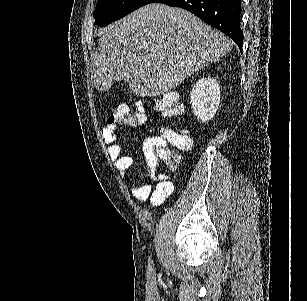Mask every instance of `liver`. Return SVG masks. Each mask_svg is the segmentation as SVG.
I'll return each mask as SVG.
<instances>
[{
  "mask_svg": "<svg viewBox=\"0 0 307 301\" xmlns=\"http://www.w3.org/2000/svg\"><path fill=\"white\" fill-rule=\"evenodd\" d=\"M92 58L93 84L109 90L126 80L137 96H158L176 88L209 62L223 58L233 40L178 6L145 4L99 28Z\"/></svg>",
  "mask_w": 307,
  "mask_h": 301,
  "instance_id": "6515ba94",
  "label": "liver"
}]
</instances>
